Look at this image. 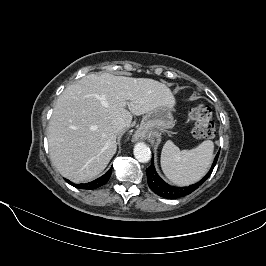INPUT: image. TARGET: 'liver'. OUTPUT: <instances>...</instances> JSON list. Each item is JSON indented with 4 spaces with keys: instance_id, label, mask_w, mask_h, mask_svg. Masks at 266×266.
Segmentation results:
<instances>
[{
    "instance_id": "liver-1",
    "label": "liver",
    "mask_w": 266,
    "mask_h": 266,
    "mask_svg": "<svg viewBox=\"0 0 266 266\" xmlns=\"http://www.w3.org/2000/svg\"><path fill=\"white\" fill-rule=\"evenodd\" d=\"M174 104L171 90L156 80L88 74L66 87L56 101L47 129L51 162L65 178L89 181L116 153L112 121L123 119L129 128L133 115Z\"/></svg>"
}]
</instances>
